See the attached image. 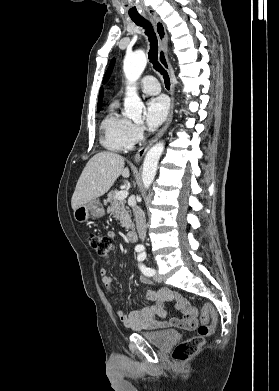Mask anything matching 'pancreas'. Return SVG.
I'll list each match as a JSON object with an SVG mask.
<instances>
[{"mask_svg":"<svg viewBox=\"0 0 279 391\" xmlns=\"http://www.w3.org/2000/svg\"><path fill=\"white\" fill-rule=\"evenodd\" d=\"M116 193V190H112L108 193L107 199L105 200V203L110 204L107 208V212L111 213L116 219H118L122 226L126 229L133 228L130 210L125 205L126 201L117 200L115 198Z\"/></svg>","mask_w":279,"mask_h":391,"instance_id":"pancreas-1","label":"pancreas"}]
</instances>
